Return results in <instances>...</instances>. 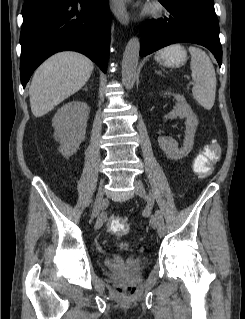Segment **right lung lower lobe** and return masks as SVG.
Returning <instances> with one entry per match:
<instances>
[{
    "instance_id": "obj_1",
    "label": "right lung lower lobe",
    "mask_w": 245,
    "mask_h": 319,
    "mask_svg": "<svg viewBox=\"0 0 245 319\" xmlns=\"http://www.w3.org/2000/svg\"><path fill=\"white\" fill-rule=\"evenodd\" d=\"M22 15L23 87L46 58L64 50L83 53L106 71L110 39L108 0H25Z\"/></svg>"
}]
</instances>
